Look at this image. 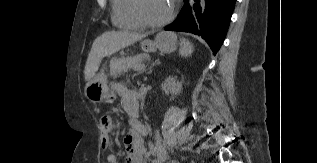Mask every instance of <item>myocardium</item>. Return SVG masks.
<instances>
[{
    "instance_id": "myocardium-1",
    "label": "myocardium",
    "mask_w": 317,
    "mask_h": 163,
    "mask_svg": "<svg viewBox=\"0 0 317 163\" xmlns=\"http://www.w3.org/2000/svg\"><path fill=\"white\" fill-rule=\"evenodd\" d=\"M134 10L138 20L146 27L160 28L169 24L177 12V0H173L169 15L161 21H151L145 14L144 0H134Z\"/></svg>"
}]
</instances>
